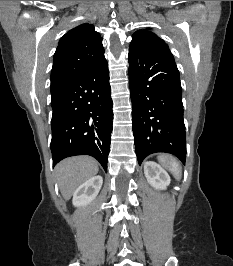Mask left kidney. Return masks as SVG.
Masks as SVG:
<instances>
[{
  "label": "left kidney",
  "instance_id": "5707ae66",
  "mask_svg": "<svg viewBox=\"0 0 233 266\" xmlns=\"http://www.w3.org/2000/svg\"><path fill=\"white\" fill-rule=\"evenodd\" d=\"M144 174L148 183L155 189L164 190L170 184V177L167 172L152 161L145 162Z\"/></svg>",
  "mask_w": 233,
  "mask_h": 266
}]
</instances>
